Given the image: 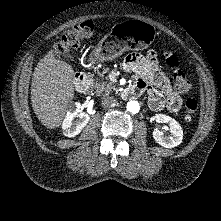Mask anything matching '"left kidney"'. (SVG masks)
Returning a JSON list of instances; mask_svg holds the SVG:
<instances>
[{
	"mask_svg": "<svg viewBox=\"0 0 221 221\" xmlns=\"http://www.w3.org/2000/svg\"><path fill=\"white\" fill-rule=\"evenodd\" d=\"M154 119L161 123H167L169 125V132L171 133L170 135L165 136L163 132L157 129L154 130L153 138L159 145L165 148H173L181 144L183 139V130L175 119L165 114H156Z\"/></svg>",
	"mask_w": 221,
	"mask_h": 221,
	"instance_id": "left-kidney-1",
	"label": "left kidney"
}]
</instances>
